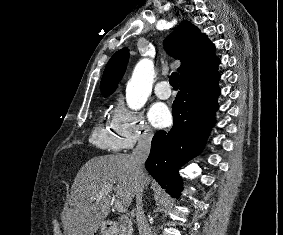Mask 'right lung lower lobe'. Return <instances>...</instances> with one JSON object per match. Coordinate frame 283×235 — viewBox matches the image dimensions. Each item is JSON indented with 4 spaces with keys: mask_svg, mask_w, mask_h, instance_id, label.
Wrapping results in <instances>:
<instances>
[{
    "mask_svg": "<svg viewBox=\"0 0 283 235\" xmlns=\"http://www.w3.org/2000/svg\"><path fill=\"white\" fill-rule=\"evenodd\" d=\"M217 70L191 81L180 82L172 105L174 125L169 132H157L151 142L146 169L173 197L182 191L179 169L201 153L214 124L220 93Z\"/></svg>",
    "mask_w": 283,
    "mask_h": 235,
    "instance_id": "98d812e1",
    "label": "right lung lower lobe"
}]
</instances>
